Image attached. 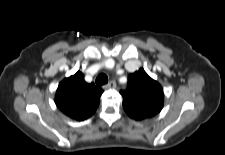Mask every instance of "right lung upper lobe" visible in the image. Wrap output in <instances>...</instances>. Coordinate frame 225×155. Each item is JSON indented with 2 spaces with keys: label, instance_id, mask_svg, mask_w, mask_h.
Returning <instances> with one entry per match:
<instances>
[{
  "label": "right lung upper lobe",
  "instance_id": "obj_1",
  "mask_svg": "<svg viewBox=\"0 0 225 155\" xmlns=\"http://www.w3.org/2000/svg\"><path fill=\"white\" fill-rule=\"evenodd\" d=\"M102 93L94 83H86L84 75L78 71L59 84L55 103L66 116L82 121L94 114Z\"/></svg>",
  "mask_w": 225,
  "mask_h": 155
}]
</instances>
